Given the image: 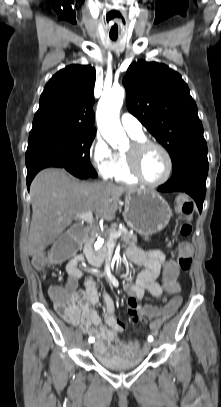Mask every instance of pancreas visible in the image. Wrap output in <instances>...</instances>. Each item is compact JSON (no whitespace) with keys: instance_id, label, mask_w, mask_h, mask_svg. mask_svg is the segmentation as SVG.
I'll return each instance as SVG.
<instances>
[{"instance_id":"obj_1","label":"pancreas","mask_w":221,"mask_h":407,"mask_svg":"<svg viewBox=\"0 0 221 407\" xmlns=\"http://www.w3.org/2000/svg\"><path fill=\"white\" fill-rule=\"evenodd\" d=\"M115 229V226H114ZM121 239L124 243V246H135L137 243V235L130 234L127 230L120 231ZM98 236H102L106 242L109 240V231L99 233L95 228L90 230V236L85 243V254L89 262L95 266L99 267L103 264L106 258V244L99 250L93 249V244Z\"/></svg>"}]
</instances>
